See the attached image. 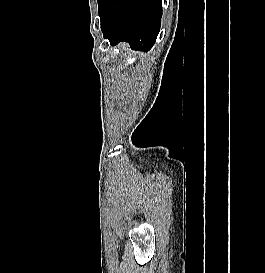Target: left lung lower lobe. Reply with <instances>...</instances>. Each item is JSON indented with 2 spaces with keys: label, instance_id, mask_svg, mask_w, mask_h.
Masks as SVG:
<instances>
[{
  "label": "left lung lower lobe",
  "instance_id": "1",
  "mask_svg": "<svg viewBox=\"0 0 265 273\" xmlns=\"http://www.w3.org/2000/svg\"><path fill=\"white\" fill-rule=\"evenodd\" d=\"M98 5L107 13L101 29L111 45L127 41L134 50L152 48L160 30L161 0H98Z\"/></svg>",
  "mask_w": 265,
  "mask_h": 273
}]
</instances>
